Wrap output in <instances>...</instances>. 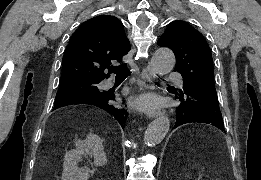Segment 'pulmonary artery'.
Segmentation results:
<instances>
[{"label":"pulmonary artery","instance_id":"obj_1","mask_svg":"<svg viewBox=\"0 0 261 180\" xmlns=\"http://www.w3.org/2000/svg\"><path fill=\"white\" fill-rule=\"evenodd\" d=\"M165 77H180V72H165ZM106 87L112 86V82L110 80H106L103 82ZM166 83H181V78H166Z\"/></svg>","mask_w":261,"mask_h":180}]
</instances>
